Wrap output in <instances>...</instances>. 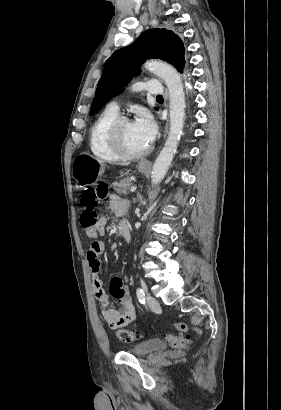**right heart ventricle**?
<instances>
[{"instance_id": "obj_1", "label": "right heart ventricle", "mask_w": 281, "mask_h": 410, "mask_svg": "<svg viewBox=\"0 0 281 410\" xmlns=\"http://www.w3.org/2000/svg\"><path fill=\"white\" fill-rule=\"evenodd\" d=\"M118 117V111L109 107L103 110L91 126L89 133V147L92 154L103 161L115 162L122 157L111 147L108 141V130Z\"/></svg>"}]
</instances>
